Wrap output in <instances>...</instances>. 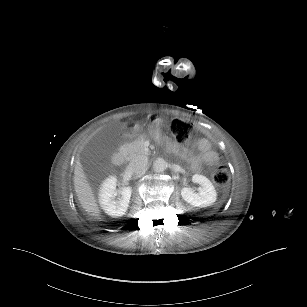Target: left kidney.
Instances as JSON below:
<instances>
[{"instance_id": "obj_1", "label": "left kidney", "mask_w": 307, "mask_h": 307, "mask_svg": "<svg viewBox=\"0 0 307 307\" xmlns=\"http://www.w3.org/2000/svg\"><path fill=\"white\" fill-rule=\"evenodd\" d=\"M192 182L200 185L198 192H195L190 187L181 189L182 198L194 207H208L211 206L217 199V192L212 182L205 176L194 174Z\"/></svg>"}]
</instances>
